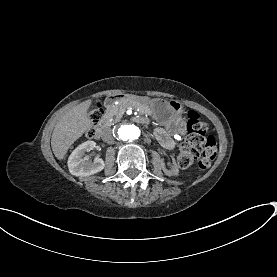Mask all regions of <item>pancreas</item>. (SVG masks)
Listing matches in <instances>:
<instances>
[{"label":"pancreas","mask_w":277,"mask_h":277,"mask_svg":"<svg viewBox=\"0 0 277 277\" xmlns=\"http://www.w3.org/2000/svg\"><path fill=\"white\" fill-rule=\"evenodd\" d=\"M133 110L140 117H147L150 114V107L140 97H130L127 101L125 99H117L107 106V114L110 117H117L120 113L127 109Z\"/></svg>","instance_id":"cf45deb5"}]
</instances>
